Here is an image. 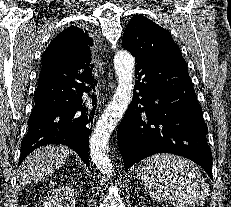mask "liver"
I'll return each instance as SVG.
<instances>
[{"instance_id":"6515ba94","label":"liver","mask_w":231,"mask_h":207,"mask_svg":"<svg viewBox=\"0 0 231 207\" xmlns=\"http://www.w3.org/2000/svg\"><path fill=\"white\" fill-rule=\"evenodd\" d=\"M73 151L62 145L44 146L27 156L20 166V187L26 183L37 182L51 176L60 168Z\"/></svg>"}]
</instances>
